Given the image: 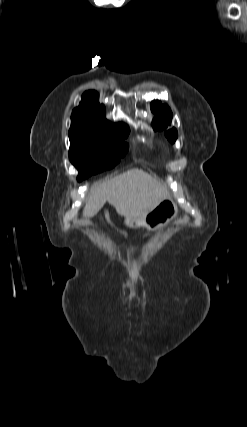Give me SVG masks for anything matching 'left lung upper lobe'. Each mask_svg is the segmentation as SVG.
Masks as SVG:
<instances>
[{
  "instance_id": "5c2ea615",
  "label": "left lung upper lobe",
  "mask_w": 247,
  "mask_h": 427,
  "mask_svg": "<svg viewBox=\"0 0 247 427\" xmlns=\"http://www.w3.org/2000/svg\"><path fill=\"white\" fill-rule=\"evenodd\" d=\"M151 111L155 113V117L152 121L154 130H163L170 124L172 112L167 105H162L159 101H153L151 103ZM165 135L171 143H174L178 136L175 128L166 131Z\"/></svg>"
}]
</instances>
